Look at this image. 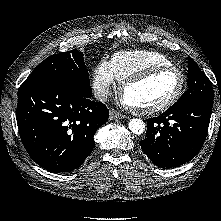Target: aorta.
<instances>
[{
	"instance_id": "762f6f07",
	"label": "aorta",
	"mask_w": 221,
	"mask_h": 221,
	"mask_svg": "<svg viewBox=\"0 0 221 221\" xmlns=\"http://www.w3.org/2000/svg\"><path fill=\"white\" fill-rule=\"evenodd\" d=\"M129 129L132 133L140 135L145 131V123L142 119L134 118L128 123Z\"/></svg>"
}]
</instances>
